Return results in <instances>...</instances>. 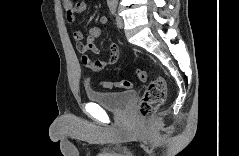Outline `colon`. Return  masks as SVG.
Here are the masks:
<instances>
[{
	"label": "colon",
	"instance_id": "1",
	"mask_svg": "<svg viewBox=\"0 0 239 156\" xmlns=\"http://www.w3.org/2000/svg\"><path fill=\"white\" fill-rule=\"evenodd\" d=\"M137 76L139 81L147 82L149 73L146 70L138 69ZM102 86L106 89L132 87V83L128 80L118 82H103ZM166 99V81L163 77L157 76L148 84L143 97L139 102V112L141 116L147 117L151 115L156 108L161 106Z\"/></svg>",
	"mask_w": 239,
	"mask_h": 156
}]
</instances>
